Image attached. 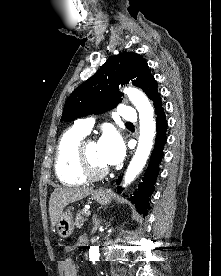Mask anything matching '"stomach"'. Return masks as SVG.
<instances>
[{
	"label": "stomach",
	"mask_w": 221,
	"mask_h": 276,
	"mask_svg": "<svg viewBox=\"0 0 221 276\" xmlns=\"http://www.w3.org/2000/svg\"><path fill=\"white\" fill-rule=\"evenodd\" d=\"M112 193L105 190H97L92 193V198L95 199L98 203L106 205L112 200ZM56 229L60 237L67 238L69 237L74 230V222L71 211L68 209L62 212L60 218L57 221Z\"/></svg>",
	"instance_id": "obj_1"
}]
</instances>
